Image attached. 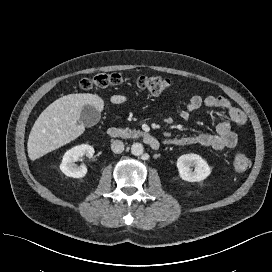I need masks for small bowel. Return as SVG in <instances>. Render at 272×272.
Listing matches in <instances>:
<instances>
[{
  "label": "small bowel",
  "mask_w": 272,
  "mask_h": 272,
  "mask_svg": "<svg viewBox=\"0 0 272 272\" xmlns=\"http://www.w3.org/2000/svg\"><path fill=\"white\" fill-rule=\"evenodd\" d=\"M202 106L224 110L227 113L228 120L219 122L214 133L203 132L196 135L169 138L164 141L165 144L175 146L198 144L216 150L230 149L237 145L238 136L232 130V126L244 125L247 121L245 113L224 96L208 95L203 97L199 94H194L189 101L180 108L179 116L182 120L188 121L192 113Z\"/></svg>",
  "instance_id": "c3829d8e"
}]
</instances>
